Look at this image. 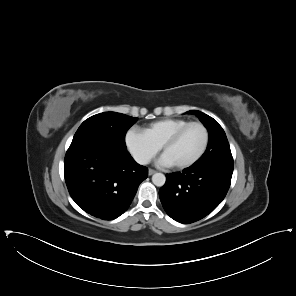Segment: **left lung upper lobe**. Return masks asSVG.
<instances>
[{
	"label": "left lung upper lobe",
	"mask_w": 296,
	"mask_h": 296,
	"mask_svg": "<svg viewBox=\"0 0 296 296\" xmlns=\"http://www.w3.org/2000/svg\"><path fill=\"white\" fill-rule=\"evenodd\" d=\"M186 113L196 115L209 131L208 147L196 163L210 165L218 162H233L226 134L218 122L200 111L192 110Z\"/></svg>",
	"instance_id": "1"
}]
</instances>
